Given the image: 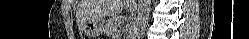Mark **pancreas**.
Wrapping results in <instances>:
<instances>
[{"instance_id": "1", "label": "pancreas", "mask_w": 249, "mask_h": 39, "mask_svg": "<svg viewBox=\"0 0 249 39\" xmlns=\"http://www.w3.org/2000/svg\"><path fill=\"white\" fill-rule=\"evenodd\" d=\"M121 20L117 17L109 18L104 26V34L107 36H118Z\"/></svg>"}]
</instances>
